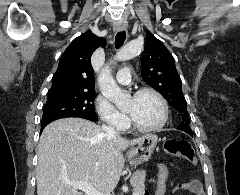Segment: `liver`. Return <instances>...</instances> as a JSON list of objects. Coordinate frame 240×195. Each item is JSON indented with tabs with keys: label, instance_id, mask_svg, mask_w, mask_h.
Wrapping results in <instances>:
<instances>
[{
	"label": "liver",
	"instance_id": "liver-1",
	"mask_svg": "<svg viewBox=\"0 0 240 195\" xmlns=\"http://www.w3.org/2000/svg\"><path fill=\"white\" fill-rule=\"evenodd\" d=\"M139 141L141 137H107L101 125L82 117L52 121L39 139L37 195H82L66 181H88L97 191L110 193L124 167V149Z\"/></svg>",
	"mask_w": 240,
	"mask_h": 195
}]
</instances>
